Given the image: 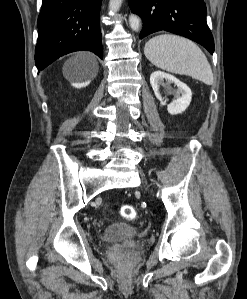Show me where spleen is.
Wrapping results in <instances>:
<instances>
[{"mask_svg": "<svg viewBox=\"0 0 247 299\" xmlns=\"http://www.w3.org/2000/svg\"><path fill=\"white\" fill-rule=\"evenodd\" d=\"M144 54L160 69L191 76L207 85L213 84V73L207 57L189 39L171 34L158 35L145 44Z\"/></svg>", "mask_w": 247, "mask_h": 299, "instance_id": "spleen-1", "label": "spleen"}]
</instances>
